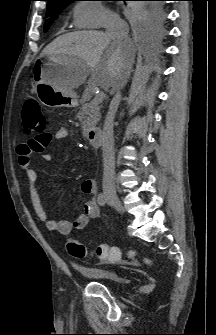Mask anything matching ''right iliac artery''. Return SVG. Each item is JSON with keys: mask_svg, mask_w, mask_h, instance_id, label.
I'll list each match as a JSON object with an SVG mask.
<instances>
[{"mask_svg": "<svg viewBox=\"0 0 216 335\" xmlns=\"http://www.w3.org/2000/svg\"><path fill=\"white\" fill-rule=\"evenodd\" d=\"M98 204L100 206H104L106 204V197H105V195L103 193H100L98 195Z\"/></svg>", "mask_w": 216, "mask_h": 335, "instance_id": "82829eb1", "label": "right iliac artery"}]
</instances>
